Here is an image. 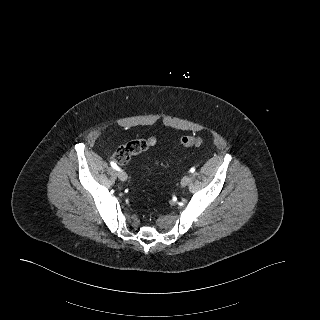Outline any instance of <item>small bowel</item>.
Returning <instances> with one entry per match:
<instances>
[{
	"mask_svg": "<svg viewBox=\"0 0 320 320\" xmlns=\"http://www.w3.org/2000/svg\"><path fill=\"white\" fill-rule=\"evenodd\" d=\"M146 141L149 143L150 146H153L156 143V138L152 136L146 139Z\"/></svg>",
	"mask_w": 320,
	"mask_h": 320,
	"instance_id": "small-bowel-1",
	"label": "small bowel"
}]
</instances>
